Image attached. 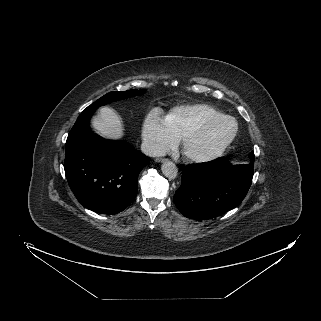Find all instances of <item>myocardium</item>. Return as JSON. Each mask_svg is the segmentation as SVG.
I'll list each match as a JSON object with an SVG mask.
<instances>
[{"mask_svg":"<svg viewBox=\"0 0 321 321\" xmlns=\"http://www.w3.org/2000/svg\"><path fill=\"white\" fill-rule=\"evenodd\" d=\"M221 121H231L233 123V129L231 133L218 144L217 147H215L213 150L206 153H197L189 149V143L192 140H194L199 135L204 133L212 125L219 123ZM237 133H238V123L234 117L229 115H224V114L220 116H215L202 121L201 123L193 127L191 130L186 132L180 139L181 150L183 155L191 161L208 162L220 157L226 151V149L231 145V143L234 141Z\"/></svg>","mask_w":321,"mask_h":321,"instance_id":"myocardium-1","label":"myocardium"}]
</instances>
